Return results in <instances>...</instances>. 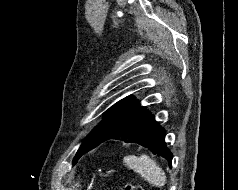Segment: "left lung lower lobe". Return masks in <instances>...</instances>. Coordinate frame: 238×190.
Wrapping results in <instances>:
<instances>
[{
	"label": "left lung lower lobe",
	"mask_w": 238,
	"mask_h": 190,
	"mask_svg": "<svg viewBox=\"0 0 238 190\" xmlns=\"http://www.w3.org/2000/svg\"><path fill=\"white\" fill-rule=\"evenodd\" d=\"M109 139L137 143L164 157L171 166L173 156L166 146L165 130L155 120L154 115L138 101L122 113L102 143Z\"/></svg>",
	"instance_id": "left-lung-lower-lobe-1"
}]
</instances>
